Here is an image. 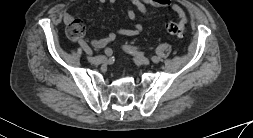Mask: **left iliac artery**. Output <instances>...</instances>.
Wrapping results in <instances>:
<instances>
[{"label":"left iliac artery","instance_id":"left-iliac-artery-1","mask_svg":"<svg viewBox=\"0 0 253 138\" xmlns=\"http://www.w3.org/2000/svg\"><path fill=\"white\" fill-rule=\"evenodd\" d=\"M129 49H130L131 51L135 50L134 47H129ZM152 61H153L154 63H158V62H159V58H158L157 56H153V57H152Z\"/></svg>","mask_w":253,"mask_h":138}]
</instances>
